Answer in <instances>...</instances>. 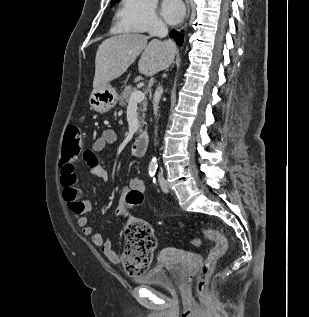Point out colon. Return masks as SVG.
<instances>
[{
	"label": "colon",
	"instance_id": "obj_1",
	"mask_svg": "<svg viewBox=\"0 0 309 317\" xmlns=\"http://www.w3.org/2000/svg\"><path fill=\"white\" fill-rule=\"evenodd\" d=\"M82 152V137L78 126L69 125L66 128L60 166L72 163ZM143 194L131 191L127 202L136 206L143 202ZM203 236L213 243L197 277V294L201 300L208 295V282L214 271L216 262L226 252L228 243L225 236L217 230L202 229ZM125 245L122 251V262L126 271L131 275H139L147 271L153 259L156 248V237L151 225L144 220H132L124 231ZM201 241L193 239L191 244L199 246Z\"/></svg>",
	"mask_w": 309,
	"mask_h": 317
}]
</instances>
